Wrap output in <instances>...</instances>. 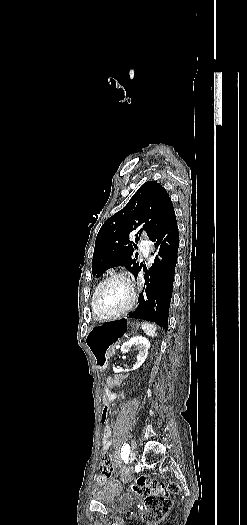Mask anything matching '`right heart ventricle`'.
<instances>
[{
    "mask_svg": "<svg viewBox=\"0 0 247 525\" xmlns=\"http://www.w3.org/2000/svg\"><path fill=\"white\" fill-rule=\"evenodd\" d=\"M93 296V295H92ZM92 296L90 298V306H91V309H92V314H93V317H102V316H99L95 313L94 309H93V302H92Z\"/></svg>",
    "mask_w": 247,
    "mask_h": 525,
    "instance_id": "obj_1",
    "label": "right heart ventricle"
}]
</instances>
